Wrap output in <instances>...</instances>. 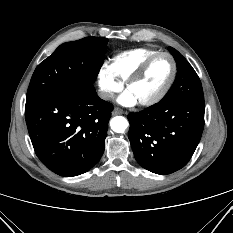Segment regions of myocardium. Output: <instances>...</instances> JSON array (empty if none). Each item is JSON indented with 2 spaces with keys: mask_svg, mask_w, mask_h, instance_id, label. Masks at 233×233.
<instances>
[{
  "mask_svg": "<svg viewBox=\"0 0 233 233\" xmlns=\"http://www.w3.org/2000/svg\"><path fill=\"white\" fill-rule=\"evenodd\" d=\"M162 56L168 57L172 63L173 68L171 77L158 93H156L149 99L139 101V104L142 106H152L157 104L167 95L169 90L172 88L177 76V64L173 56L168 52H158L152 55L139 66V68L127 79L125 83V87L126 89H128L131 85L141 80L148 71L149 67L153 64V62Z\"/></svg>",
  "mask_w": 233,
  "mask_h": 233,
  "instance_id": "f54148a6",
  "label": "myocardium"
}]
</instances>
